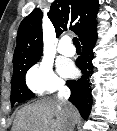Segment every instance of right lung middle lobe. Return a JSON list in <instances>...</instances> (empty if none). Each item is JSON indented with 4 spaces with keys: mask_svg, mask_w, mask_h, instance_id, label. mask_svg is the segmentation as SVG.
Instances as JSON below:
<instances>
[{
    "mask_svg": "<svg viewBox=\"0 0 117 131\" xmlns=\"http://www.w3.org/2000/svg\"><path fill=\"white\" fill-rule=\"evenodd\" d=\"M27 64L13 69V76L11 80V105L14 106L16 102H24L34 97V94L27 88L25 83V74L27 70L34 65Z\"/></svg>",
    "mask_w": 117,
    "mask_h": 131,
    "instance_id": "1",
    "label": "right lung middle lobe"
}]
</instances>
